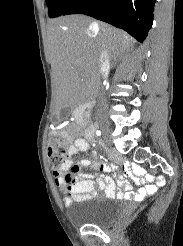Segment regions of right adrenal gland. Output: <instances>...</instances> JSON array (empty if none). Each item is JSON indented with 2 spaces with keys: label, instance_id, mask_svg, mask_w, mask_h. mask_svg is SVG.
Listing matches in <instances>:
<instances>
[{
  "label": "right adrenal gland",
  "instance_id": "obj_1",
  "mask_svg": "<svg viewBox=\"0 0 183 246\" xmlns=\"http://www.w3.org/2000/svg\"><path fill=\"white\" fill-rule=\"evenodd\" d=\"M117 63V58L114 59V62L111 64V68H113L114 66H116Z\"/></svg>",
  "mask_w": 183,
  "mask_h": 246
}]
</instances>
